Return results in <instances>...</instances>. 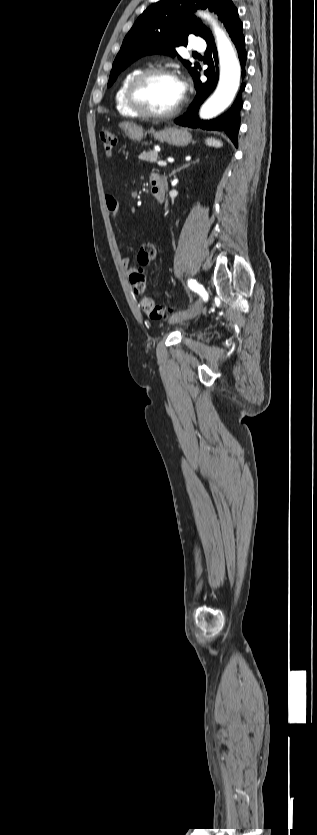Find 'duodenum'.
Listing matches in <instances>:
<instances>
[{
	"label": "duodenum",
	"mask_w": 317,
	"mask_h": 835,
	"mask_svg": "<svg viewBox=\"0 0 317 835\" xmlns=\"http://www.w3.org/2000/svg\"><path fill=\"white\" fill-rule=\"evenodd\" d=\"M151 192L157 201L162 202L164 200L165 188L164 184L161 181H158L156 179H153L151 181Z\"/></svg>",
	"instance_id": "duodenum-1"
}]
</instances>
